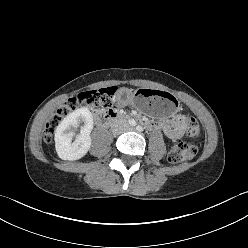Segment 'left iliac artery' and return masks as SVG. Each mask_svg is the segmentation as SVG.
<instances>
[{
	"label": "left iliac artery",
	"mask_w": 248,
	"mask_h": 248,
	"mask_svg": "<svg viewBox=\"0 0 248 248\" xmlns=\"http://www.w3.org/2000/svg\"><path fill=\"white\" fill-rule=\"evenodd\" d=\"M136 129H137L138 131H142V130H143V128H142L141 126H137Z\"/></svg>",
	"instance_id": "left-iliac-artery-1"
}]
</instances>
